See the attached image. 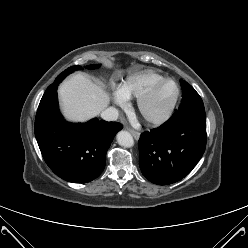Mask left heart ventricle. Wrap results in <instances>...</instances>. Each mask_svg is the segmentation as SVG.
<instances>
[{
    "label": "left heart ventricle",
    "instance_id": "left-heart-ventricle-1",
    "mask_svg": "<svg viewBox=\"0 0 248 248\" xmlns=\"http://www.w3.org/2000/svg\"><path fill=\"white\" fill-rule=\"evenodd\" d=\"M175 96V87L171 84L160 87L151 97L145 107V117H155L162 114L171 104Z\"/></svg>",
    "mask_w": 248,
    "mask_h": 248
}]
</instances>
